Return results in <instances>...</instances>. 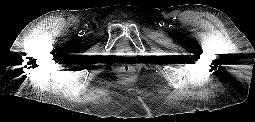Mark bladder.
Segmentation results:
<instances>
[{
    "mask_svg": "<svg viewBox=\"0 0 255 122\" xmlns=\"http://www.w3.org/2000/svg\"><path fill=\"white\" fill-rule=\"evenodd\" d=\"M121 45H124V41L121 42Z\"/></svg>",
    "mask_w": 255,
    "mask_h": 122,
    "instance_id": "obj_1",
    "label": "bladder"
}]
</instances>
